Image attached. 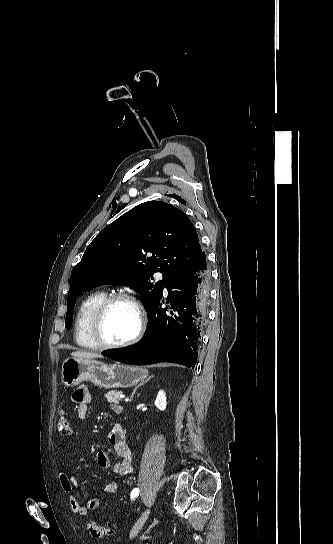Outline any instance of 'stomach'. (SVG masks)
I'll list each match as a JSON object with an SVG mask.
<instances>
[{
	"instance_id": "stomach-1",
	"label": "stomach",
	"mask_w": 333,
	"mask_h": 544,
	"mask_svg": "<svg viewBox=\"0 0 333 544\" xmlns=\"http://www.w3.org/2000/svg\"><path fill=\"white\" fill-rule=\"evenodd\" d=\"M147 369L115 363L107 365L91 359L68 358L62 364L61 380L72 387L90 381L102 388L131 387L144 380Z\"/></svg>"
}]
</instances>
